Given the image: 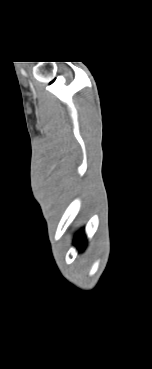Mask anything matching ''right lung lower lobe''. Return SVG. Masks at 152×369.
I'll use <instances>...</instances> for the list:
<instances>
[{
	"instance_id": "1",
	"label": "right lung lower lobe",
	"mask_w": 152,
	"mask_h": 369,
	"mask_svg": "<svg viewBox=\"0 0 152 369\" xmlns=\"http://www.w3.org/2000/svg\"><path fill=\"white\" fill-rule=\"evenodd\" d=\"M74 244L77 246V248L82 251L83 248L85 247L86 245V238L83 234V232H79L77 235H76V238L74 240Z\"/></svg>"
}]
</instances>
